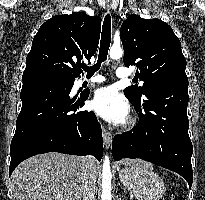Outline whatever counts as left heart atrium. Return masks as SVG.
Returning a JSON list of instances; mask_svg holds the SVG:
<instances>
[{"label":"left heart atrium","instance_id":"39dd6f15","mask_svg":"<svg viewBox=\"0 0 205 200\" xmlns=\"http://www.w3.org/2000/svg\"><path fill=\"white\" fill-rule=\"evenodd\" d=\"M91 105L99 116L114 124L124 123L128 116L127 102L112 86L98 89Z\"/></svg>","mask_w":205,"mask_h":200}]
</instances>
